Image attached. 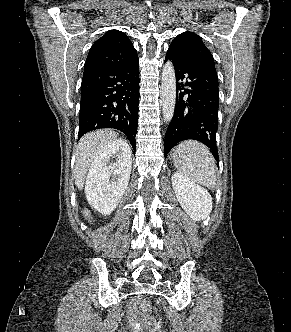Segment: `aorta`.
Instances as JSON below:
<instances>
[{"mask_svg":"<svg viewBox=\"0 0 291 332\" xmlns=\"http://www.w3.org/2000/svg\"><path fill=\"white\" fill-rule=\"evenodd\" d=\"M162 113L166 124H169L174 115L176 103V77L172 62L168 61L162 71Z\"/></svg>","mask_w":291,"mask_h":332,"instance_id":"1","label":"aorta"}]
</instances>
